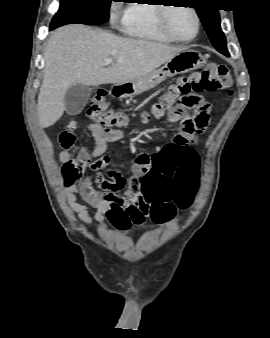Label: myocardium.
Returning a JSON list of instances; mask_svg holds the SVG:
<instances>
[{"mask_svg":"<svg viewBox=\"0 0 270 338\" xmlns=\"http://www.w3.org/2000/svg\"><path fill=\"white\" fill-rule=\"evenodd\" d=\"M178 1V0H177ZM165 6H170V5H165ZM178 6H184L182 4L179 5H173L171 7H160L159 10V26L160 29L162 30V32L169 37L172 41L175 42H179V43H187V42H191L193 41L199 34L200 31V17L198 15V13L196 12V10L194 8L191 7H180V8H185L188 9L195 17V21H196V29H195V33L192 37L190 38H186V39H182L177 37L171 30L170 28V23H169V15L170 12L174 9L177 8Z\"/></svg>","mask_w":270,"mask_h":338,"instance_id":"myocardium-1","label":"myocardium"}]
</instances>
